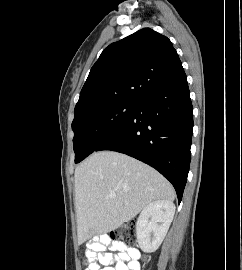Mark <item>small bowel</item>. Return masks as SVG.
Returning a JSON list of instances; mask_svg holds the SVG:
<instances>
[{"mask_svg": "<svg viewBox=\"0 0 242 270\" xmlns=\"http://www.w3.org/2000/svg\"><path fill=\"white\" fill-rule=\"evenodd\" d=\"M107 246L112 252L105 251ZM88 254L90 264L86 270H140L139 250L111 241L105 235L89 243Z\"/></svg>", "mask_w": 242, "mask_h": 270, "instance_id": "obj_1", "label": "small bowel"}]
</instances>
